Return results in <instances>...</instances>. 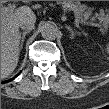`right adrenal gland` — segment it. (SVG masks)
Returning <instances> with one entry per match:
<instances>
[{
    "label": "right adrenal gland",
    "instance_id": "2a0ac1e0",
    "mask_svg": "<svg viewBox=\"0 0 109 109\" xmlns=\"http://www.w3.org/2000/svg\"><path fill=\"white\" fill-rule=\"evenodd\" d=\"M29 33V31H24L22 33V35L20 36V45H19V51L22 50L23 48V43H24V40H25V36Z\"/></svg>",
    "mask_w": 109,
    "mask_h": 109
}]
</instances>
